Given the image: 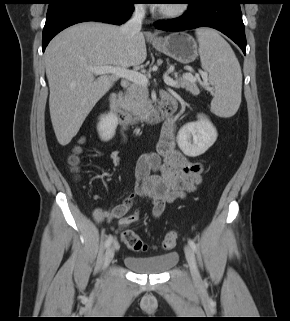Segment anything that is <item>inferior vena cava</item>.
I'll use <instances>...</instances> for the list:
<instances>
[{"mask_svg":"<svg viewBox=\"0 0 290 321\" xmlns=\"http://www.w3.org/2000/svg\"><path fill=\"white\" fill-rule=\"evenodd\" d=\"M144 16V6L141 4L135 5V9L131 18L124 25L121 26L122 33L130 37L140 32Z\"/></svg>","mask_w":290,"mask_h":321,"instance_id":"602c4592","label":"inferior vena cava"}]
</instances>
